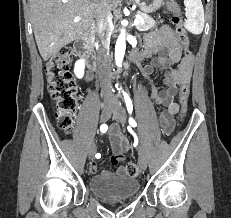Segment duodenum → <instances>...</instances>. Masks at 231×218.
<instances>
[{"instance_id": "duodenum-1", "label": "duodenum", "mask_w": 231, "mask_h": 218, "mask_svg": "<svg viewBox=\"0 0 231 218\" xmlns=\"http://www.w3.org/2000/svg\"><path fill=\"white\" fill-rule=\"evenodd\" d=\"M93 36V30H89L86 34L82 37L78 38L74 43V48L79 56H81L86 64L87 67L91 71H96L97 69V61L96 57L91 50V40ZM138 54L133 55V59H138Z\"/></svg>"}]
</instances>
